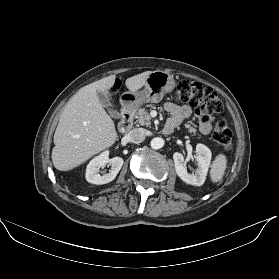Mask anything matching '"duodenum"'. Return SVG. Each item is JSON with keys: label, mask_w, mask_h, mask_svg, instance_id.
<instances>
[{"label": "duodenum", "mask_w": 279, "mask_h": 279, "mask_svg": "<svg viewBox=\"0 0 279 279\" xmlns=\"http://www.w3.org/2000/svg\"><path fill=\"white\" fill-rule=\"evenodd\" d=\"M133 114H134L133 110L129 109V108H126L123 111L122 119L119 122V130L122 133H126L127 131H129L131 129L132 124H133ZM169 133H171V132H169Z\"/></svg>", "instance_id": "duodenum-1"}]
</instances>
